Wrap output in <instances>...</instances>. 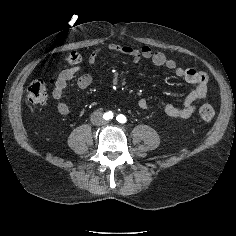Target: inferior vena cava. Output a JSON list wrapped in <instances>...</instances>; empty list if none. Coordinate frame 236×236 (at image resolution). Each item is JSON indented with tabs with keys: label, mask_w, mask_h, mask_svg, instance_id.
<instances>
[{
	"label": "inferior vena cava",
	"mask_w": 236,
	"mask_h": 236,
	"mask_svg": "<svg viewBox=\"0 0 236 236\" xmlns=\"http://www.w3.org/2000/svg\"><path fill=\"white\" fill-rule=\"evenodd\" d=\"M91 121H92L93 124H100V123H102V121H103L102 113L100 111H95L91 115Z\"/></svg>",
	"instance_id": "inferior-vena-cava-1"
}]
</instances>
